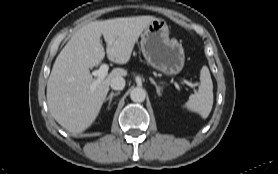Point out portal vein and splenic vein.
Segmentation results:
<instances>
[{
  "label": "portal vein and splenic vein",
  "instance_id": "1",
  "mask_svg": "<svg viewBox=\"0 0 278 174\" xmlns=\"http://www.w3.org/2000/svg\"><path fill=\"white\" fill-rule=\"evenodd\" d=\"M108 65L107 64H103L100 66V68L98 70H95L92 72V75L97 77V79L91 84L90 88L92 90H94L96 88V86L107 76L108 74ZM186 85L193 87V84L190 83L187 80L183 81Z\"/></svg>",
  "mask_w": 278,
  "mask_h": 174
}]
</instances>
